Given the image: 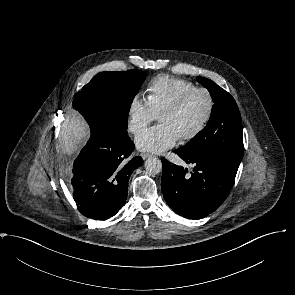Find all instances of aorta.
<instances>
[{"mask_svg":"<svg viewBox=\"0 0 295 295\" xmlns=\"http://www.w3.org/2000/svg\"><path fill=\"white\" fill-rule=\"evenodd\" d=\"M145 169L151 175L159 174L162 171V162L158 158H149L145 163Z\"/></svg>","mask_w":295,"mask_h":295,"instance_id":"1","label":"aorta"}]
</instances>
